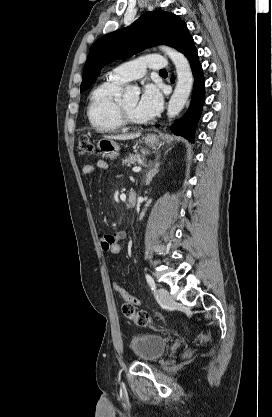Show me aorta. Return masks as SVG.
I'll list each match as a JSON object with an SVG mask.
<instances>
[{
    "instance_id": "1",
    "label": "aorta",
    "mask_w": 272,
    "mask_h": 417,
    "mask_svg": "<svg viewBox=\"0 0 272 417\" xmlns=\"http://www.w3.org/2000/svg\"><path fill=\"white\" fill-rule=\"evenodd\" d=\"M161 50L172 60L177 72V85L167 109V116L172 119L180 113L189 98L193 85V75L189 61L182 53L167 46H161ZM139 94L140 89L138 87L128 86L123 98L124 100L137 101Z\"/></svg>"
}]
</instances>
